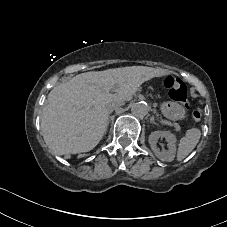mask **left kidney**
<instances>
[{"label": "left kidney", "mask_w": 227, "mask_h": 227, "mask_svg": "<svg viewBox=\"0 0 227 227\" xmlns=\"http://www.w3.org/2000/svg\"><path fill=\"white\" fill-rule=\"evenodd\" d=\"M165 139L167 143L168 151H160L157 148L156 143L159 139ZM175 137L172 133L167 131H154L150 134L148 142L150 144L151 150L154 152L155 156L161 161L170 162L175 157Z\"/></svg>", "instance_id": "1"}]
</instances>
